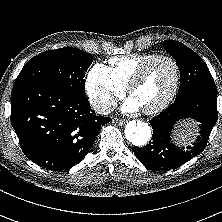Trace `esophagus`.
<instances>
[{
  "label": "esophagus",
  "mask_w": 222,
  "mask_h": 222,
  "mask_svg": "<svg viewBox=\"0 0 222 222\" xmlns=\"http://www.w3.org/2000/svg\"><path fill=\"white\" fill-rule=\"evenodd\" d=\"M114 122L117 123L118 125H124L125 124V120H122V119H114Z\"/></svg>",
  "instance_id": "esophagus-1"
}]
</instances>
